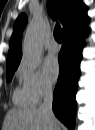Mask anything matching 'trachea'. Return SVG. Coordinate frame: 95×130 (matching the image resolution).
I'll list each match as a JSON object with an SVG mask.
<instances>
[{
  "mask_svg": "<svg viewBox=\"0 0 95 130\" xmlns=\"http://www.w3.org/2000/svg\"><path fill=\"white\" fill-rule=\"evenodd\" d=\"M54 38L57 42L61 43L62 41V30L59 24H56L54 28Z\"/></svg>",
  "mask_w": 95,
  "mask_h": 130,
  "instance_id": "trachea-1",
  "label": "trachea"
}]
</instances>
